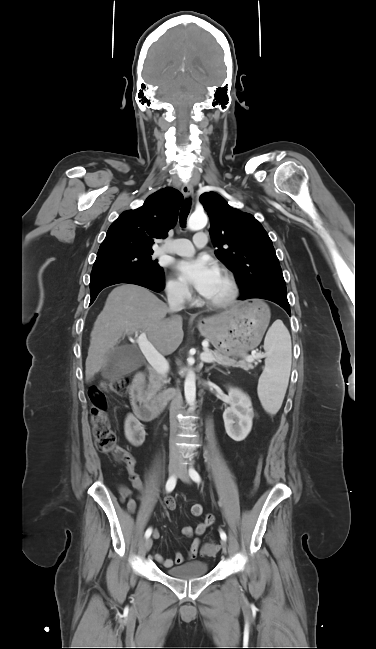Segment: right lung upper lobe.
<instances>
[{
	"label": "right lung upper lobe",
	"mask_w": 376,
	"mask_h": 649,
	"mask_svg": "<svg viewBox=\"0 0 376 649\" xmlns=\"http://www.w3.org/2000/svg\"><path fill=\"white\" fill-rule=\"evenodd\" d=\"M183 195L172 187L150 195L143 206L123 212L109 227L98 254L153 251L154 239L166 238L177 222Z\"/></svg>",
	"instance_id": "cb5924a9"
}]
</instances>
